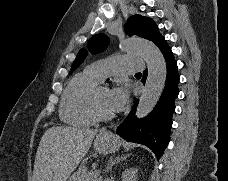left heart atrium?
<instances>
[{
    "mask_svg": "<svg viewBox=\"0 0 228 181\" xmlns=\"http://www.w3.org/2000/svg\"><path fill=\"white\" fill-rule=\"evenodd\" d=\"M127 89L128 86L126 84H121L112 90L110 97V106L113 111H119L122 109Z\"/></svg>",
    "mask_w": 228,
    "mask_h": 181,
    "instance_id": "1",
    "label": "left heart atrium"
}]
</instances>
